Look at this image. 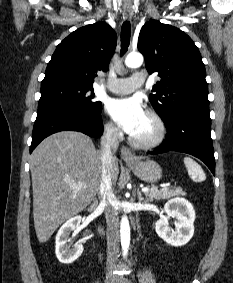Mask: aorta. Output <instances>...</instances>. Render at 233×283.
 <instances>
[{
    "label": "aorta",
    "mask_w": 233,
    "mask_h": 283,
    "mask_svg": "<svg viewBox=\"0 0 233 283\" xmlns=\"http://www.w3.org/2000/svg\"><path fill=\"white\" fill-rule=\"evenodd\" d=\"M143 63V56L140 53H129L125 59V64L129 68H137ZM120 238L123 256H127L130 245V225L126 215L122 216L120 223Z\"/></svg>",
    "instance_id": "obj_1"
}]
</instances>
